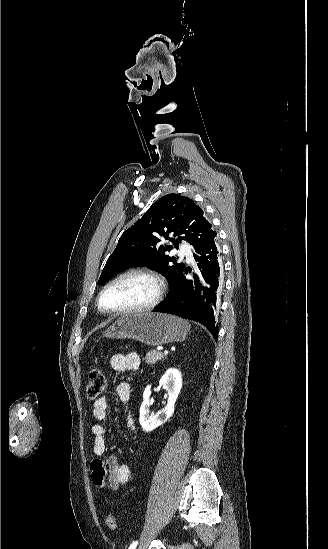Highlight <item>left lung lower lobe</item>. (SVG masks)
<instances>
[{"instance_id": "0a47b994", "label": "left lung lower lobe", "mask_w": 328, "mask_h": 549, "mask_svg": "<svg viewBox=\"0 0 328 549\" xmlns=\"http://www.w3.org/2000/svg\"><path fill=\"white\" fill-rule=\"evenodd\" d=\"M197 267L188 269L194 276L186 279L184 268L176 279L166 300L155 307L154 312L167 313L200 322L212 333L217 341L218 325L216 315L223 287L220 249L215 238L208 241L193 254Z\"/></svg>"}]
</instances>
